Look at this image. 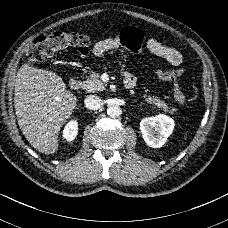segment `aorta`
<instances>
[{
	"label": "aorta",
	"mask_w": 228,
	"mask_h": 228,
	"mask_svg": "<svg viewBox=\"0 0 228 228\" xmlns=\"http://www.w3.org/2000/svg\"><path fill=\"white\" fill-rule=\"evenodd\" d=\"M122 113L121 108L118 105H111L107 109V115L111 118H117Z\"/></svg>",
	"instance_id": "obj_1"
}]
</instances>
